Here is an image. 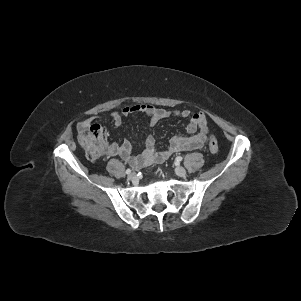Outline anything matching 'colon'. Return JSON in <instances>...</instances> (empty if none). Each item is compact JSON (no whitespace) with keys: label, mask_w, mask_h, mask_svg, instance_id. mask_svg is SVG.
I'll return each mask as SVG.
<instances>
[{"label":"colon","mask_w":301,"mask_h":301,"mask_svg":"<svg viewBox=\"0 0 301 301\" xmlns=\"http://www.w3.org/2000/svg\"><path fill=\"white\" fill-rule=\"evenodd\" d=\"M106 128L98 123H88L79 129V141L86 151L88 159L98 160L106 149ZM209 149L216 154L219 150L214 134L209 133Z\"/></svg>","instance_id":"colon-1"}]
</instances>
